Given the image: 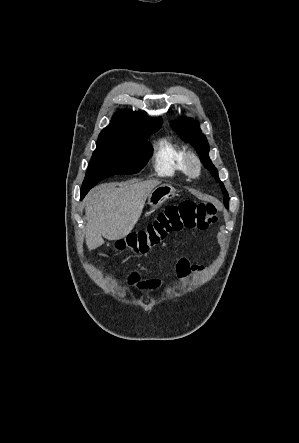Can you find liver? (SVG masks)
Wrapping results in <instances>:
<instances>
[{
  "instance_id": "6515ba94",
  "label": "liver",
  "mask_w": 299,
  "mask_h": 443,
  "mask_svg": "<svg viewBox=\"0 0 299 443\" xmlns=\"http://www.w3.org/2000/svg\"><path fill=\"white\" fill-rule=\"evenodd\" d=\"M160 185L157 180L101 184L85 198L86 245L89 250L104 244V239L125 238L138 222L146 199Z\"/></svg>"
}]
</instances>
